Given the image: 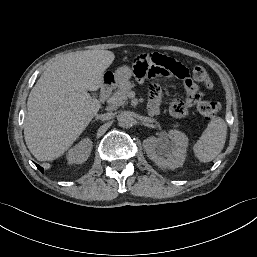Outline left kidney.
<instances>
[{
  "label": "left kidney",
  "instance_id": "5707ae66",
  "mask_svg": "<svg viewBox=\"0 0 257 257\" xmlns=\"http://www.w3.org/2000/svg\"><path fill=\"white\" fill-rule=\"evenodd\" d=\"M147 156L159 167L175 169L181 167L186 157L188 137L178 130L162 133L157 138L148 137L143 141Z\"/></svg>",
  "mask_w": 257,
  "mask_h": 257
}]
</instances>
